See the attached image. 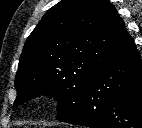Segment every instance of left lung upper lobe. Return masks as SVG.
<instances>
[{
    "mask_svg": "<svg viewBox=\"0 0 142 128\" xmlns=\"http://www.w3.org/2000/svg\"><path fill=\"white\" fill-rule=\"evenodd\" d=\"M131 39L108 0H62L24 45L14 108L40 94L50 95L58 101V120L68 117L88 81Z\"/></svg>",
    "mask_w": 142,
    "mask_h": 128,
    "instance_id": "5c2ea615",
    "label": "left lung upper lobe"
}]
</instances>
